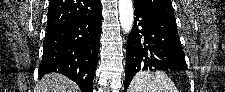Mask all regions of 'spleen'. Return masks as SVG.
Instances as JSON below:
<instances>
[{
  "label": "spleen",
  "instance_id": "obj_1",
  "mask_svg": "<svg viewBox=\"0 0 225 92\" xmlns=\"http://www.w3.org/2000/svg\"><path fill=\"white\" fill-rule=\"evenodd\" d=\"M128 92H178V89L162 71H140L134 76Z\"/></svg>",
  "mask_w": 225,
  "mask_h": 92
}]
</instances>
